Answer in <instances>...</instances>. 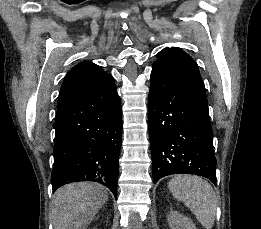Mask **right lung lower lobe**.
Here are the masks:
<instances>
[{"label": "right lung lower lobe", "instance_id": "98d812e1", "mask_svg": "<svg viewBox=\"0 0 261 229\" xmlns=\"http://www.w3.org/2000/svg\"><path fill=\"white\" fill-rule=\"evenodd\" d=\"M121 140L120 98L109 76L56 113L53 191L72 182L93 181L117 198Z\"/></svg>", "mask_w": 261, "mask_h": 229}]
</instances>
